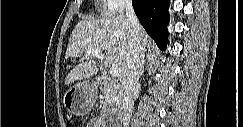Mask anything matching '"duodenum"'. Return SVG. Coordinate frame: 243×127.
Returning <instances> with one entry per match:
<instances>
[{"instance_id":"1","label":"duodenum","mask_w":243,"mask_h":127,"mask_svg":"<svg viewBox=\"0 0 243 127\" xmlns=\"http://www.w3.org/2000/svg\"><path fill=\"white\" fill-rule=\"evenodd\" d=\"M109 82H110V79L107 76L100 75L97 78L96 84L98 86H104V85H107Z\"/></svg>"}]
</instances>
